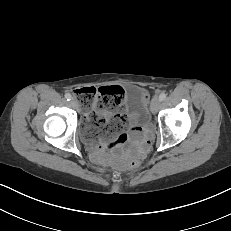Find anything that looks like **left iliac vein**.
Masks as SVG:
<instances>
[{"label": "left iliac vein", "mask_w": 231, "mask_h": 231, "mask_svg": "<svg viewBox=\"0 0 231 231\" xmlns=\"http://www.w3.org/2000/svg\"><path fill=\"white\" fill-rule=\"evenodd\" d=\"M161 100L157 97L153 98L151 102V112L153 114L157 113L160 108Z\"/></svg>", "instance_id": "left-iliac-vein-1"}]
</instances>
